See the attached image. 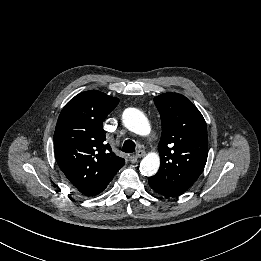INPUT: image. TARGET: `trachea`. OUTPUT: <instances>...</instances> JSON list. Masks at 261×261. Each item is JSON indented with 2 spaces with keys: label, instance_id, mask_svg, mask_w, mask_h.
I'll return each instance as SVG.
<instances>
[{
  "label": "trachea",
  "instance_id": "3493384b",
  "mask_svg": "<svg viewBox=\"0 0 261 261\" xmlns=\"http://www.w3.org/2000/svg\"><path fill=\"white\" fill-rule=\"evenodd\" d=\"M135 143L128 139L124 142L123 147H122V151L125 153H133L135 151Z\"/></svg>",
  "mask_w": 261,
  "mask_h": 261
}]
</instances>
